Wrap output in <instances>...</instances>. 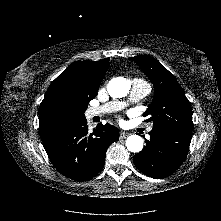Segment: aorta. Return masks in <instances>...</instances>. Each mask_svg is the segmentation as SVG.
<instances>
[{
	"instance_id": "1",
	"label": "aorta",
	"mask_w": 221,
	"mask_h": 221,
	"mask_svg": "<svg viewBox=\"0 0 221 221\" xmlns=\"http://www.w3.org/2000/svg\"><path fill=\"white\" fill-rule=\"evenodd\" d=\"M130 89V84L123 77L113 78L107 85L108 93L113 98L125 97ZM143 139L138 135H130L126 140V147L130 152L138 153L143 149Z\"/></svg>"
}]
</instances>
